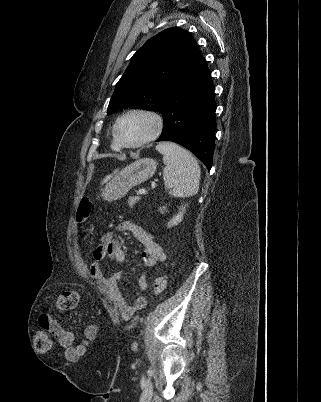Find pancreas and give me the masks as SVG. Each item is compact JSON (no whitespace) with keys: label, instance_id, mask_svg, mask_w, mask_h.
<instances>
[{"label":"pancreas","instance_id":"cf45deb5","mask_svg":"<svg viewBox=\"0 0 321 402\" xmlns=\"http://www.w3.org/2000/svg\"><path fill=\"white\" fill-rule=\"evenodd\" d=\"M137 201H138V198H137V197H129V199H128V205H129L130 207H133V205H134Z\"/></svg>","mask_w":321,"mask_h":402}]
</instances>
